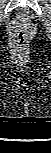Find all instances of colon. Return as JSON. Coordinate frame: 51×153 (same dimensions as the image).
Here are the masks:
<instances>
[{
  "instance_id": "colon-1",
  "label": "colon",
  "mask_w": 51,
  "mask_h": 153,
  "mask_svg": "<svg viewBox=\"0 0 51 153\" xmlns=\"http://www.w3.org/2000/svg\"><path fill=\"white\" fill-rule=\"evenodd\" d=\"M14 41L16 44L24 46L28 43L29 38L24 31L19 30L14 33Z\"/></svg>"
}]
</instances>
